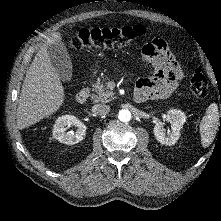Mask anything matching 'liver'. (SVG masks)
<instances>
[{
    "label": "liver",
    "instance_id": "6515ba94",
    "mask_svg": "<svg viewBox=\"0 0 221 221\" xmlns=\"http://www.w3.org/2000/svg\"><path fill=\"white\" fill-rule=\"evenodd\" d=\"M61 39V34L54 32L41 46L26 72L17 108L19 129L53 114L64 102V87L48 54V47Z\"/></svg>",
    "mask_w": 221,
    "mask_h": 221
}]
</instances>
